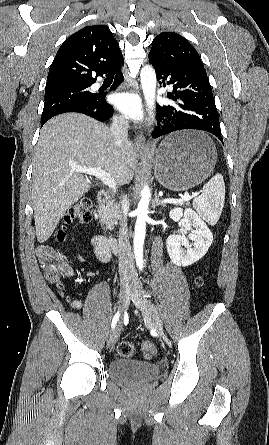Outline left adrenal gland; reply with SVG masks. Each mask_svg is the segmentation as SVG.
<instances>
[{"mask_svg": "<svg viewBox=\"0 0 269 445\" xmlns=\"http://www.w3.org/2000/svg\"><path fill=\"white\" fill-rule=\"evenodd\" d=\"M165 203L163 202V201H161L160 199H159V197L157 196V194L155 195V200H154V202H153V206L155 207V206H162V207H165Z\"/></svg>", "mask_w": 269, "mask_h": 445, "instance_id": "obj_1", "label": "left adrenal gland"}]
</instances>
